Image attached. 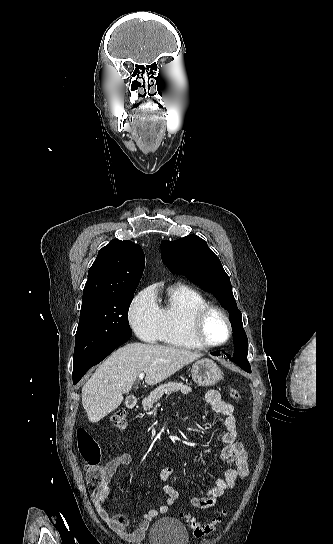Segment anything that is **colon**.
Instances as JSON below:
<instances>
[{
    "mask_svg": "<svg viewBox=\"0 0 333 544\" xmlns=\"http://www.w3.org/2000/svg\"><path fill=\"white\" fill-rule=\"evenodd\" d=\"M229 395L235 400L241 398L240 393L235 388L229 389ZM111 424L119 430L127 426V416L125 410H117L110 418ZM77 445L79 453L86 466V481L92 491L99 490L105 484L104 467L101 465V449L97 441L84 429L77 430ZM187 521L195 537H204L217 528L222 521V516L214 519L210 523H199L192 515L185 513L182 515Z\"/></svg>",
    "mask_w": 333,
    "mask_h": 544,
    "instance_id": "5ec220e1",
    "label": "colon"
}]
</instances>
